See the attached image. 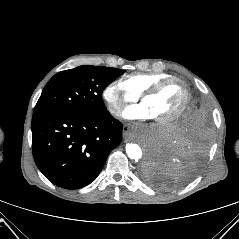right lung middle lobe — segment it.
Returning <instances> with one entry per match:
<instances>
[{"mask_svg": "<svg viewBox=\"0 0 239 239\" xmlns=\"http://www.w3.org/2000/svg\"><path fill=\"white\" fill-rule=\"evenodd\" d=\"M123 73L117 68L90 65L61 71L44 87L34 113L55 110L104 112L102 92Z\"/></svg>", "mask_w": 239, "mask_h": 239, "instance_id": "obj_1", "label": "right lung middle lobe"}]
</instances>
